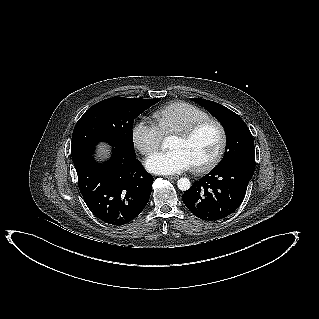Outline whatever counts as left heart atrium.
<instances>
[{"mask_svg": "<svg viewBox=\"0 0 319 319\" xmlns=\"http://www.w3.org/2000/svg\"><path fill=\"white\" fill-rule=\"evenodd\" d=\"M145 166L152 173L167 175L183 172L192 165L184 152L171 149L152 154L145 161Z\"/></svg>", "mask_w": 319, "mask_h": 319, "instance_id": "39dd6f15", "label": "left heart atrium"}]
</instances>
